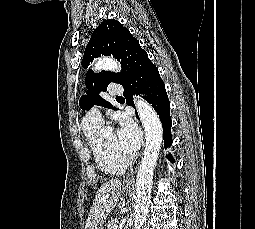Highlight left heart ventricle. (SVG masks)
<instances>
[{
    "mask_svg": "<svg viewBox=\"0 0 255 229\" xmlns=\"http://www.w3.org/2000/svg\"><path fill=\"white\" fill-rule=\"evenodd\" d=\"M106 145L112 149L113 151L125 156V157H128L129 155L126 154L122 148L120 147V144H119V141H118V137L117 136H111L109 139H107L105 141Z\"/></svg>",
    "mask_w": 255,
    "mask_h": 229,
    "instance_id": "1",
    "label": "left heart ventricle"
}]
</instances>
